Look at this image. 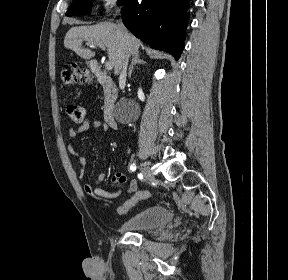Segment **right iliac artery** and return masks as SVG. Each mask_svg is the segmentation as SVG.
Listing matches in <instances>:
<instances>
[{"label": "right iliac artery", "mask_w": 288, "mask_h": 280, "mask_svg": "<svg viewBox=\"0 0 288 280\" xmlns=\"http://www.w3.org/2000/svg\"><path fill=\"white\" fill-rule=\"evenodd\" d=\"M130 170H131V171H135V170H136L135 164H132V165L130 166Z\"/></svg>", "instance_id": "obj_1"}]
</instances>
